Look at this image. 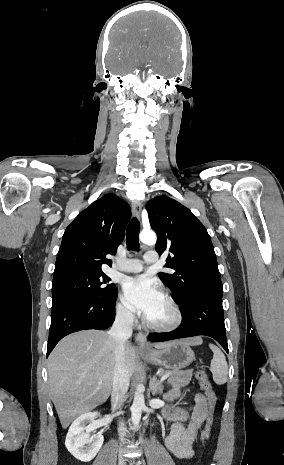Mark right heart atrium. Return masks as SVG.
<instances>
[{"label":"right heart atrium","instance_id":"1","mask_svg":"<svg viewBox=\"0 0 284 465\" xmlns=\"http://www.w3.org/2000/svg\"><path fill=\"white\" fill-rule=\"evenodd\" d=\"M114 315L124 325L131 326L136 322V316L133 311L120 301L114 306Z\"/></svg>","mask_w":284,"mask_h":465}]
</instances>
